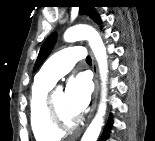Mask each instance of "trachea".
<instances>
[{
    "mask_svg": "<svg viewBox=\"0 0 155 141\" xmlns=\"http://www.w3.org/2000/svg\"><path fill=\"white\" fill-rule=\"evenodd\" d=\"M86 62H87V63H91V57H90V56H87V57H86Z\"/></svg>",
    "mask_w": 155,
    "mask_h": 141,
    "instance_id": "trachea-1",
    "label": "trachea"
}]
</instances>
